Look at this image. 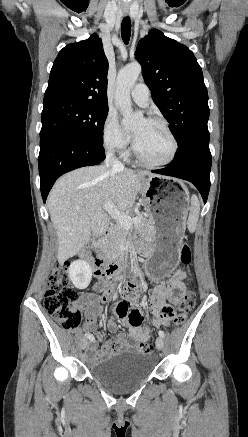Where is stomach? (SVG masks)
<instances>
[{"label":"stomach","instance_id":"obj_1","mask_svg":"<svg viewBox=\"0 0 248 437\" xmlns=\"http://www.w3.org/2000/svg\"><path fill=\"white\" fill-rule=\"evenodd\" d=\"M143 183L154 239L153 255L144 268L150 271L152 277L161 279L174 270L178 261L189 210V193L182 182L168 177H149Z\"/></svg>","mask_w":248,"mask_h":437}]
</instances>
